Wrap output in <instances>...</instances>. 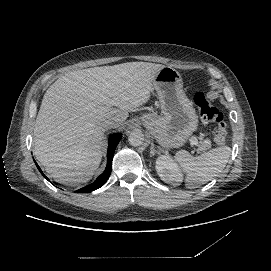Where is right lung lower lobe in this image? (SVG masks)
Segmentation results:
<instances>
[{"label": "right lung lower lobe", "mask_w": 271, "mask_h": 271, "mask_svg": "<svg viewBox=\"0 0 271 271\" xmlns=\"http://www.w3.org/2000/svg\"><path fill=\"white\" fill-rule=\"evenodd\" d=\"M121 138H122L121 134H114L109 138V147H108V152H107V166H106L105 171L96 179V181L94 183L79 189L77 192H80V193L90 192V191H93V190H96V189L100 188L102 185L105 184V182L109 178L111 170H112V158H113V155H114L115 148H116L117 144L119 143V141L121 140ZM36 165H37V163H36ZM37 168L39 169L41 174L47 180H49L43 174V172L41 171V169L39 168L38 165H37Z\"/></svg>", "instance_id": "right-lung-lower-lobe-1"}]
</instances>
